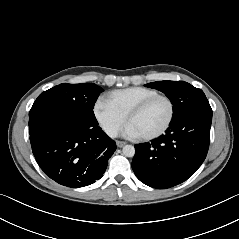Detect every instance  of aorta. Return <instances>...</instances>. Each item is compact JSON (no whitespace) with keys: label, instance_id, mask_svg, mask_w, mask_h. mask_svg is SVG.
I'll return each instance as SVG.
<instances>
[{"label":"aorta","instance_id":"obj_1","mask_svg":"<svg viewBox=\"0 0 239 239\" xmlns=\"http://www.w3.org/2000/svg\"><path fill=\"white\" fill-rule=\"evenodd\" d=\"M122 152L126 157H133L135 155V148L132 145H125Z\"/></svg>","mask_w":239,"mask_h":239}]
</instances>
